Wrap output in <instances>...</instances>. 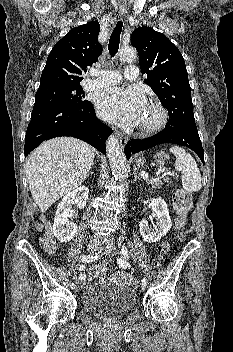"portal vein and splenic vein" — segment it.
Returning <instances> with one entry per match:
<instances>
[{"label":"portal vein and splenic vein","instance_id":"1","mask_svg":"<svg viewBox=\"0 0 233 352\" xmlns=\"http://www.w3.org/2000/svg\"><path fill=\"white\" fill-rule=\"evenodd\" d=\"M140 175H141L142 177H144V178L151 179V180L154 181V182H159V180L162 178V177H156L155 179L150 178L149 175H148L147 173H145V172H142ZM162 176H163V175H162Z\"/></svg>","mask_w":233,"mask_h":352}]
</instances>
